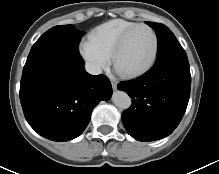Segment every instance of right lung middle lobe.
I'll list each match as a JSON object with an SVG mask.
<instances>
[{"mask_svg":"<svg viewBox=\"0 0 219 174\" xmlns=\"http://www.w3.org/2000/svg\"><path fill=\"white\" fill-rule=\"evenodd\" d=\"M84 32L72 25L55 26L46 31L32 46L24 67L58 51L78 52V45Z\"/></svg>","mask_w":219,"mask_h":174,"instance_id":"right-lung-middle-lobe-1","label":"right lung middle lobe"}]
</instances>
